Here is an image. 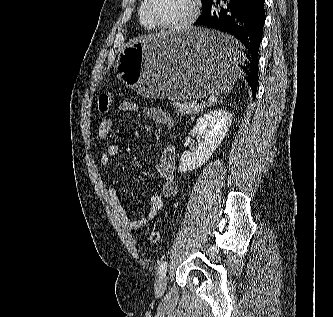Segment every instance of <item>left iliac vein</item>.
Listing matches in <instances>:
<instances>
[{"instance_id": "1", "label": "left iliac vein", "mask_w": 333, "mask_h": 317, "mask_svg": "<svg viewBox=\"0 0 333 317\" xmlns=\"http://www.w3.org/2000/svg\"><path fill=\"white\" fill-rule=\"evenodd\" d=\"M167 282H168V276L166 275V273L159 276L155 284L156 295L158 296L163 295V293L166 290Z\"/></svg>"}]
</instances>
